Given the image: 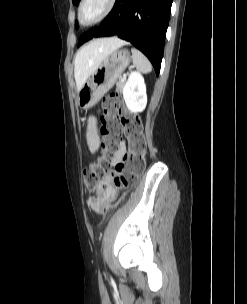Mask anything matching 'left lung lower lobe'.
Wrapping results in <instances>:
<instances>
[{"mask_svg": "<svg viewBox=\"0 0 247 304\" xmlns=\"http://www.w3.org/2000/svg\"><path fill=\"white\" fill-rule=\"evenodd\" d=\"M173 0H116L99 27L81 35L78 46L93 37L113 36L143 52L159 75Z\"/></svg>", "mask_w": 247, "mask_h": 304, "instance_id": "left-lung-lower-lobe-1", "label": "left lung lower lobe"}]
</instances>
